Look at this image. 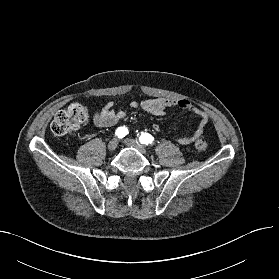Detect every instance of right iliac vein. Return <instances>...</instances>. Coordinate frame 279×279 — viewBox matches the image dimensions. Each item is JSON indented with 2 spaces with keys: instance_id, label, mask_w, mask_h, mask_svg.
<instances>
[{
  "instance_id": "obj_1",
  "label": "right iliac vein",
  "mask_w": 279,
  "mask_h": 279,
  "mask_svg": "<svg viewBox=\"0 0 279 279\" xmlns=\"http://www.w3.org/2000/svg\"><path fill=\"white\" fill-rule=\"evenodd\" d=\"M118 146V139L114 138L108 143V150L114 151Z\"/></svg>"
}]
</instances>
